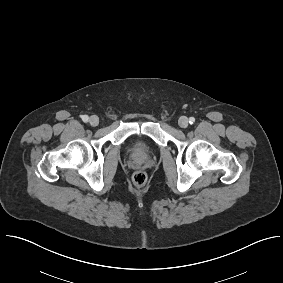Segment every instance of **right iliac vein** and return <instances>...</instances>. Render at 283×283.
<instances>
[{
    "label": "right iliac vein",
    "mask_w": 283,
    "mask_h": 283,
    "mask_svg": "<svg viewBox=\"0 0 283 283\" xmlns=\"http://www.w3.org/2000/svg\"><path fill=\"white\" fill-rule=\"evenodd\" d=\"M89 123L91 126H97L99 124V118L95 115L91 116L89 119Z\"/></svg>",
    "instance_id": "63e3f726"
}]
</instances>
